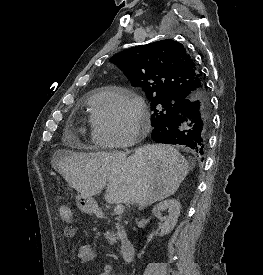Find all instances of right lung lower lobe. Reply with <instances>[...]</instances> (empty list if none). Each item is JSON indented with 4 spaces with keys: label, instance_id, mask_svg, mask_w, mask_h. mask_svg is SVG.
<instances>
[{
    "label": "right lung lower lobe",
    "instance_id": "1",
    "mask_svg": "<svg viewBox=\"0 0 263 275\" xmlns=\"http://www.w3.org/2000/svg\"><path fill=\"white\" fill-rule=\"evenodd\" d=\"M211 123L210 99L204 88L190 99H185L180 111L154 126L151 138L156 143L189 147L198 156H203Z\"/></svg>",
    "mask_w": 263,
    "mask_h": 275
}]
</instances>
